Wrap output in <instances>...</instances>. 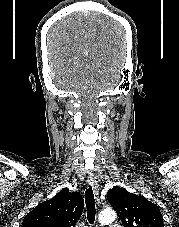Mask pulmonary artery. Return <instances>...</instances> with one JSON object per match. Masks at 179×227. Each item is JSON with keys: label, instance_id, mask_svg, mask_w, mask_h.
I'll use <instances>...</instances> for the list:
<instances>
[{"label": "pulmonary artery", "instance_id": "obj_1", "mask_svg": "<svg viewBox=\"0 0 179 227\" xmlns=\"http://www.w3.org/2000/svg\"><path fill=\"white\" fill-rule=\"evenodd\" d=\"M109 227H121L119 224H110Z\"/></svg>", "mask_w": 179, "mask_h": 227}]
</instances>
